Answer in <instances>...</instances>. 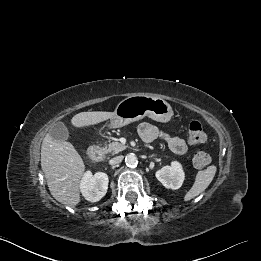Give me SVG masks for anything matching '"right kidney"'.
<instances>
[{
    "mask_svg": "<svg viewBox=\"0 0 261 261\" xmlns=\"http://www.w3.org/2000/svg\"><path fill=\"white\" fill-rule=\"evenodd\" d=\"M109 179L107 174L97 172L92 175L90 171L84 173L80 182V191L84 198L90 202H97L107 193Z\"/></svg>",
    "mask_w": 261,
    "mask_h": 261,
    "instance_id": "obj_1",
    "label": "right kidney"
}]
</instances>
